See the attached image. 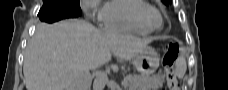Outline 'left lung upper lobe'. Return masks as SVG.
Instances as JSON below:
<instances>
[{
  "instance_id": "1",
  "label": "left lung upper lobe",
  "mask_w": 228,
  "mask_h": 90,
  "mask_svg": "<svg viewBox=\"0 0 228 90\" xmlns=\"http://www.w3.org/2000/svg\"><path fill=\"white\" fill-rule=\"evenodd\" d=\"M162 2L165 4H169L171 2V0H162Z\"/></svg>"
}]
</instances>
